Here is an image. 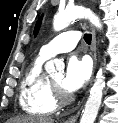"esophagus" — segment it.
I'll use <instances>...</instances> for the list:
<instances>
[{
	"label": "esophagus",
	"instance_id": "1",
	"mask_svg": "<svg viewBox=\"0 0 118 123\" xmlns=\"http://www.w3.org/2000/svg\"><path fill=\"white\" fill-rule=\"evenodd\" d=\"M91 51H92V57H93V61H94V68H96V64H97V56H96V33H95V29L92 27V44H91ZM79 111L71 116L70 118H68L65 123H75L78 116H79Z\"/></svg>",
	"mask_w": 118,
	"mask_h": 123
}]
</instances>
